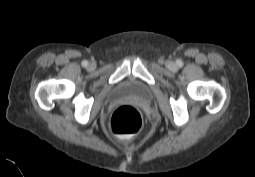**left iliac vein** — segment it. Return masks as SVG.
I'll use <instances>...</instances> for the list:
<instances>
[{
  "instance_id": "1",
  "label": "left iliac vein",
  "mask_w": 255,
  "mask_h": 177,
  "mask_svg": "<svg viewBox=\"0 0 255 177\" xmlns=\"http://www.w3.org/2000/svg\"><path fill=\"white\" fill-rule=\"evenodd\" d=\"M168 67H169L170 69H175V68H176V65H175L174 63L170 62V63L168 64Z\"/></svg>"
}]
</instances>
